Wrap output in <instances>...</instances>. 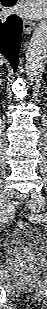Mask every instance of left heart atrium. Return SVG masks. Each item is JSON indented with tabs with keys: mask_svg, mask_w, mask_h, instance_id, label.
Instances as JSON below:
<instances>
[{
	"mask_svg": "<svg viewBox=\"0 0 47 309\" xmlns=\"http://www.w3.org/2000/svg\"><path fill=\"white\" fill-rule=\"evenodd\" d=\"M18 11L28 17H40L44 13L43 0H22Z\"/></svg>",
	"mask_w": 47,
	"mask_h": 309,
	"instance_id": "left-heart-atrium-1",
	"label": "left heart atrium"
}]
</instances>
